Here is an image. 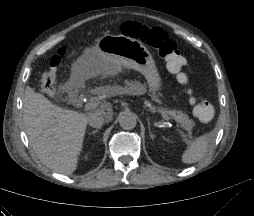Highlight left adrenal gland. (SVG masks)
<instances>
[{"mask_svg":"<svg viewBox=\"0 0 254 216\" xmlns=\"http://www.w3.org/2000/svg\"><path fill=\"white\" fill-rule=\"evenodd\" d=\"M147 121H148V130H149V134L151 136V138H153V135L151 133V129H150V122H149V118H147Z\"/></svg>","mask_w":254,"mask_h":216,"instance_id":"left-adrenal-gland-1","label":"left adrenal gland"}]
</instances>
